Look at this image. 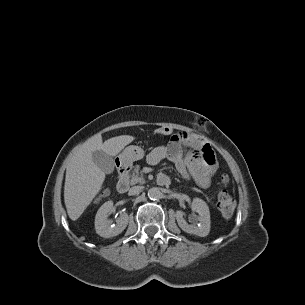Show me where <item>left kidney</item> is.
<instances>
[{
  "mask_svg": "<svg viewBox=\"0 0 305 305\" xmlns=\"http://www.w3.org/2000/svg\"><path fill=\"white\" fill-rule=\"evenodd\" d=\"M191 209L193 212L198 213L195 219L198 224H188L184 219L185 213L181 210H177L175 213L177 223L179 227L189 234L205 237L210 232V211L205 201L200 198H194L192 201Z\"/></svg>",
  "mask_w": 305,
  "mask_h": 305,
  "instance_id": "5707ae66",
  "label": "left kidney"
}]
</instances>
